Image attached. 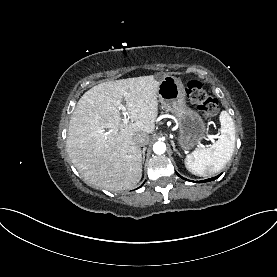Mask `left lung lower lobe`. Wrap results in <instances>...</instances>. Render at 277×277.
<instances>
[{
	"mask_svg": "<svg viewBox=\"0 0 277 277\" xmlns=\"http://www.w3.org/2000/svg\"><path fill=\"white\" fill-rule=\"evenodd\" d=\"M177 175L179 176V177H181L178 173H177ZM219 176H216V177H213V178H210V179H207V180H204V181H202V182H208V181H212V180H215L216 178H218ZM181 178H183V177H181ZM183 179H185V178H183Z\"/></svg>",
	"mask_w": 277,
	"mask_h": 277,
	"instance_id": "1",
	"label": "left lung lower lobe"
}]
</instances>
